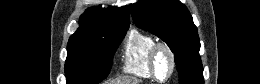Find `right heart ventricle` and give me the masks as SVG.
<instances>
[{
    "mask_svg": "<svg viewBox=\"0 0 260 84\" xmlns=\"http://www.w3.org/2000/svg\"><path fill=\"white\" fill-rule=\"evenodd\" d=\"M155 44L156 40L152 35L132 29L124 45L122 70L143 79H153L149 61Z\"/></svg>",
    "mask_w": 260,
    "mask_h": 84,
    "instance_id": "1",
    "label": "right heart ventricle"
}]
</instances>
